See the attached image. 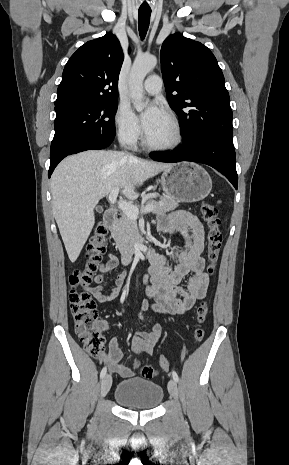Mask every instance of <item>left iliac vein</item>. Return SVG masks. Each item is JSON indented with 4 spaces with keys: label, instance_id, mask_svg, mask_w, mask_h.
<instances>
[{
    "label": "left iliac vein",
    "instance_id": "1",
    "mask_svg": "<svg viewBox=\"0 0 289 465\" xmlns=\"http://www.w3.org/2000/svg\"><path fill=\"white\" fill-rule=\"evenodd\" d=\"M168 391L170 395L174 398H178V386L175 380L171 379L168 383Z\"/></svg>",
    "mask_w": 289,
    "mask_h": 465
}]
</instances>
